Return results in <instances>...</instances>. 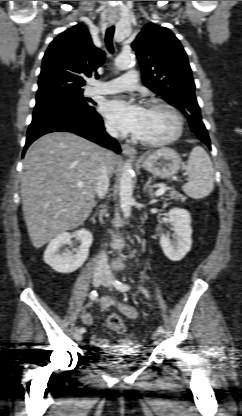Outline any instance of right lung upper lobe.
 I'll list each match as a JSON object with an SVG mask.
<instances>
[{"label":"right lung upper lobe","instance_id":"right-lung-upper-lobe-1","mask_svg":"<svg viewBox=\"0 0 242 416\" xmlns=\"http://www.w3.org/2000/svg\"><path fill=\"white\" fill-rule=\"evenodd\" d=\"M104 58V52L93 45L88 30L82 25L73 26L58 35L45 52L37 96L60 88L81 89L84 76H91Z\"/></svg>","mask_w":242,"mask_h":416}]
</instances>
